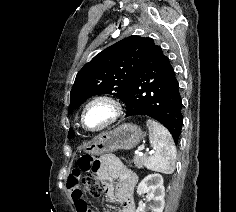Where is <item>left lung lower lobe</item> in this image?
<instances>
[{"instance_id":"1","label":"left lung lower lobe","mask_w":236,"mask_h":212,"mask_svg":"<svg viewBox=\"0 0 236 212\" xmlns=\"http://www.w3.org/2000/svg\"><path fill=\"white\" fill-rule=\"evenodd\" d=\"M122 102L126 116L146 115L159 121L178 143L183 123L179 84L169 58L152 39Z\"/></svg>"}]
</instances>
